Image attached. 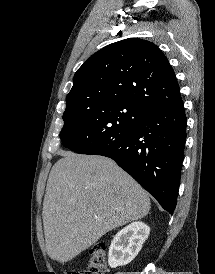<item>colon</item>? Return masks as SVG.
I'll use <instances>...</instances> for the list:
<instances>
[{"label":"colon","instance_id":"obj_1","mask_svg":"<svg viewBox=\"0 0 215 274\" xmlns=\"http://www.w3.org/2000/svg\"><path fill=\"white\" fill-rule=\"evenodd\" d=\"M106 247L103 243L94 245L90 251L88 268L82 272H68L67 274H105L107 272Z\"/></svg>","mask_w":215,"mask_h":274}]
</instances>
